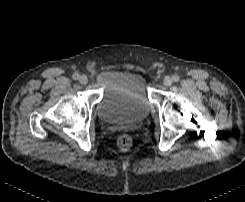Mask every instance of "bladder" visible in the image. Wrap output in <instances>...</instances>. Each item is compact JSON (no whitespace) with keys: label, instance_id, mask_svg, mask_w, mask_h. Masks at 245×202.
Masks as SVG:
<instances>
[{"label":"bladder","instance_id":"obj_1","mask_svg":"<svg viewBox=\"0 0 245 202\" xmlns=\"http://www.w3.org/2000/svg\"><path fill=\"white\" fill-rule=\"evenodd\" d=\"M94 79L103 89L97 115L100 122L137 121L149 114L151 108L147 79L133 69L99 71Z\"/></svg>","mask_w":245,"mask_h":202}]
</instances>
